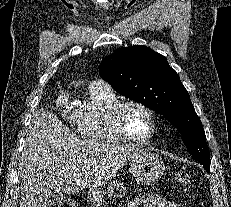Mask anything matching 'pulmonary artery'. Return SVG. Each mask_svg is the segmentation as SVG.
<instances>
[{
	"instance_id": "e3ab8cb5",
	"label": "pulmonary artery",
	"mask_w": 231,
	"mask_h": 207,
	"mask_svg": "<svg viewBox=\"0 0 231 207\" xmlns=\"http://www.w3.org/2000/svg\"><path fill=\"white\" fill-rule=\"evenodd\" d=\"M101 84H105L103 81L101 80H94L91 85H101Z\"/></svg>"
}]
</instances>
